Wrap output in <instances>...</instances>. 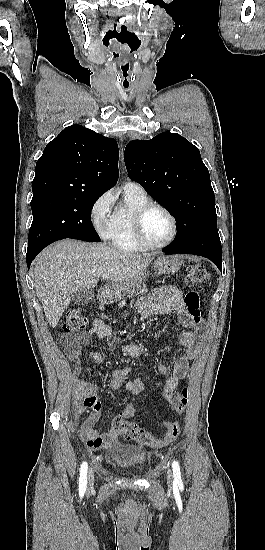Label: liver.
I'll return each mask as SVG.
<instances>
[{
  "label": "liver",
  "mask_w": 265,
  "mask_h": 550,
  "mask_svg": "<svg viewBox=\"0 0 265 550\" xmlns=\"http://www.w3.org/2000/svg\"><path fill=\"white\" fill-rule=\"evenodd\" d=\"M150 254H127L104 243L62 240L35 259L33 279L47 321L56 327L72 294L92 289L107 274L115 294L121 295L152 261Z\"/></svg>",
  "instance_id": "liver-1"
}]
</instances>
